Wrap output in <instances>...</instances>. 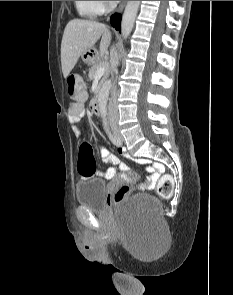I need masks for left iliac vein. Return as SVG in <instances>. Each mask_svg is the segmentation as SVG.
<instances>
[{
	"mask_svg": "<svg viewBox=\"0 0 233 295\" xmlns=\"http://www.w3.org/2000/svg\"><path fill=\"white\" fill-rule=\"evenodd\" d=\"M116 135H117V138L121 141V142H123V136L120 134V132L118 131L117 133H116Z\"/></svg>",
	"mask_w": 233,
	"mask_h": 295,
	"instance_id": "obj_1",
	"label": "left iliac vein"
}]
</instances>
